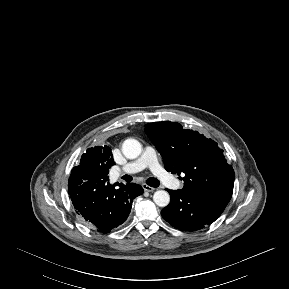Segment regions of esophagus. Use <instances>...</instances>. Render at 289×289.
Wrapping results in <instances>:
<instances>
[{
    "mask_svg": "<svg viewBox=\"0 0 289 289\" xmlns=\"http://www.w3.org/2000/svg\"><path fill=\"white\" fill-rule=\"evenodd\" d=\"M142 187H143L144 191H147V192H153L155 190V188H153L147 184H143Z\"/></svg>",
    "mask_w": 289,
    "mask_h": 289,
    "instance_id": "34e87169",
    "label": "esophagus"
}]
</instances>
